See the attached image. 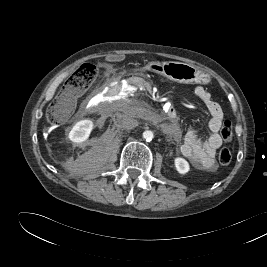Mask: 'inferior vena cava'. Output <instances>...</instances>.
Instances as JSON below:
<instances>
[{
  "instance_id": "inferior-vena-cava-1",
  "label": "inferior vena cava",
  "mask_w": 267,
  "mask_h": 267,
  "mask_svg": "<svg viewBox=\"0 0 267 267\" xmlns=\"http://www.w3.org/2000/svg\"><path fill=\"white\" fill-rule=\"evenodd\" d=\"M119 125L124 129H133L138 126V121L129 116H124L119 120Z\"/></svg>"
}]
</instances>
